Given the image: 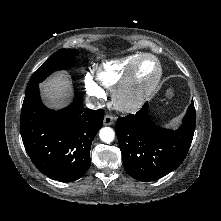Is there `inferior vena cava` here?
Masks as SVG:
<instances>
[{
	"label": "inferior vena cava",
	"mask_w": 221,
	"mask_h": 221,
	"mask_svg": "<svg viewBox=\"0 0 221 221\" xmlns=\"http://www.w3.org/2000/svg\"><path fill=\"white\" fill-rule=\"evenodd\" d=\"M87 107L89 109H97L103 107V105L99 101H94V102L88 101Z\"/></svg>",
	"instance_id": "602c4592"
}]
</instances>
